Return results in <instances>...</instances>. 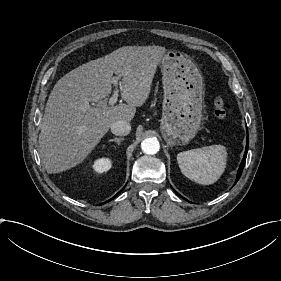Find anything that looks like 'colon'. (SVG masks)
Here are the masks:
<instances>
[{"mask_svg":"<svg viewBox=\"0 0 281 281\" xmlns=\"http://www.w3.org/2000/svg\"><path fill=\"white\" fill-rule=\"evenodd\" d=\"M213 115L218 122H225L230 116V105L222 96H217L213 100Z\"/></svg>","mask_w":281,"mask_h":281,"instance_id":"obj_1","label":"colon"}]
</instances>
